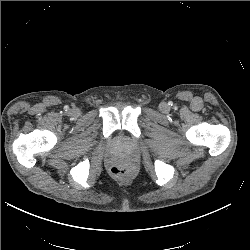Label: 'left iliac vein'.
I'll return each mask as SVG.
<instances>
[{"instance_id": "4c4485c4", "label": "left iliac vein", "mask_w": 250, "mask_h": 250, "mask_svg": "<svg viewBox=\"0 0 250 250\" xmlns=\"http://www.w3.org/2000/svg\"><path fill=\"white\" fill-rule=\"evenodd\" d=\"M160 110H161L162 112L168 111V106H167V104H166V103H162V104L160 105Z\"/></svg>"}]
</instances>
